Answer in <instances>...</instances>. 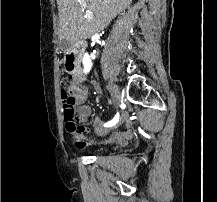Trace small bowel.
<instances>
[{
  "instance_id": "c3829d8e",
  "label": "small bowel",
  "mask_w": 217,
  "mask_h": 202,
  "mask_svg": "<svg viewBox=\"0 0 217 202\" xmlns=\"http://www.w3.org/2000/svg\"><path fill=\"white\" fill-rule=\"evenodd\" d=\"M68 88L74 89V101L77 105L76 111L79 120L83 121L89 118L92 114V108L88 105H83L82 101L87 94V88L82 84H70ZM127 115L123 118L126 119ZM83 131H73V136H76V141H81V136H86L90 133V130L86 127H82ZM134 137V133L130 130H123L122 123L119 122L114 126V130L111 133H102L96 131L93 136L89 138V142H74V147H85L87 144H96L98 142H115L119 144H126Z\"/></svg>"
}]
</instances>
